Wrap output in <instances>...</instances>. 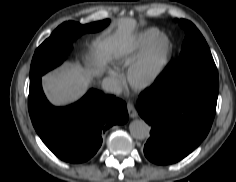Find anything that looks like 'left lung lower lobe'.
Returning <instances> with one entry per match:
<instances>
[{
    "mask_svg": "<svg viewBox=\"0 0 236 182\" xmlns=\"http://www.w3.org/2000/svg\"><path fill=\"white\" fill-rule=\"evenodd\" d=\"M218 93L193 88L163 90L158 83L138 99L139 115L151 126L144 146L148 160L172 164L190 154L207 136Z\"/></svg>",
    "mask_w": 236,
    "mask_h": 182,
    "instance_id": "0a47b994",
    "label": "left lung lower lobe"
}]
</instances>
